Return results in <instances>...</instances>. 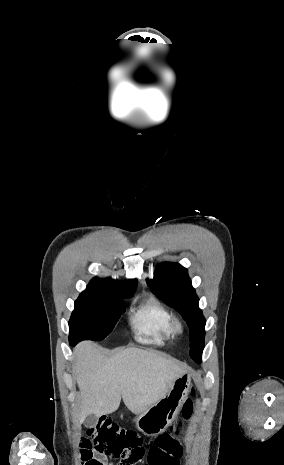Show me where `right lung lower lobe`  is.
<instances>
[{
  "mask_svg": "<svg viewBox=\"0 0 284 465\" xmlns=\"http://www.w3.org/2000/svg\"><path fill=\"white\" fill-rule=\"evenodd\" d=\"M69 343H70V345H73V346H75V344H73L72 342H70V341H69Z\"/></svg>",
  "mask_w": 284,
  "mask_h": 465,
  "instance_id": "1",
  "label": "right lung lower lobe"
}]
</instances>
